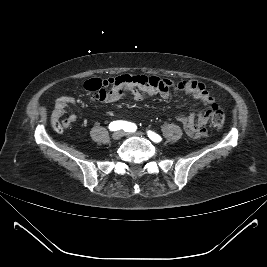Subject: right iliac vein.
<instances>
[{
    "mask_svg": "<svg viewBox=\"0 0 267 267\" xmlns=\"http://www.w3.org/2000/svg\"><path fill=\"white\" fill-rule=\"evenodd\" d=\"M124 133L122 131H116L112 135L113 140H120L123 137Z\"/></svg>",
    "mask_w": 267,
    "mask_h": 267,
    "instance_id": "right-iliac-vein-1",
    "label": "right iliac vein"
}]
</instances>
